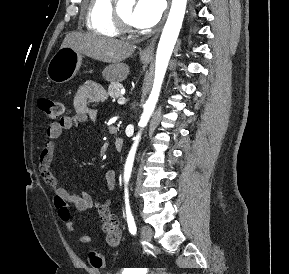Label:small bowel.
<instances>
[{
    "label": "small bowel",
    "mask_w": 289,
    "mask_h": 274,
    "mask_svg": "<svg viewBox=\"0 0 289 274\" xmlns=\"http://www.w3.org/2000/svg\"><path fill=\"white\" fill-rule=\"evenodd\" d=\"M104 98V89L96 82L87 81L78 88L73 100L74 114L61 117L58 121L52 122L47 128L39 159V171L44 182L54 192V207L58 217L65 223L69 232L75 230L70 206L81 212L97 209L107 244L111 247H117L121 241V229L118 218L112 210L111 199L108 198L103 202H96L85 190L80 194L70 193L61 186L60 180L52 168L58 138L63 132L71 129L75 123L95 121L97 112L93 105ZM105 182L108 191H112L116 182V173L113 169L106 171ZM91 241L92 236L90 235H82L78 238V242L81 244H87Z\"/></svg>",
    "instance_id": "obj_1"
}]
</instances>
